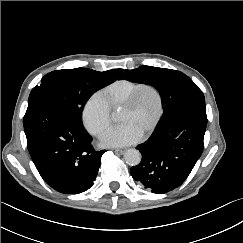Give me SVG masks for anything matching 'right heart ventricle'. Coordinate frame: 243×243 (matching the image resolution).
<instances>
[{"label":"right heart ventricle","mask_w":243,"mask_h":243,"mask_svg":"<svg viewBox=\"0 0 243 243\" xmlns=\"http://www.w3.org/2000/svg\"><path fill=\"white\" fill-rule=\"evenodd\" d=\"M142 84V82L119 79L105 87L100 93L109 108H121L131 94Z\"/></svg>","instance_id":"1"}]
</instances>
